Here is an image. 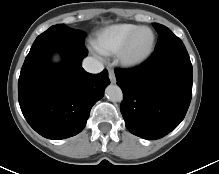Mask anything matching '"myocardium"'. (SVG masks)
<instances>
[{
	"label": "myocardium",
	"mask_w": 219,
	"mask_h": 174,
	"mask_svg": "<svg viewBox=\"0 0 219 174\" xmlns=\"http://www.w3.org/2000/svg\"><path fill=\"white\" fill-rule=\"evenodd\" d=\"M142 30H149L151 32L152 38L148 48L140 55L132 56L129 54L131 44L136 37V35ZM156 43V36L152 28L148 26H139L134 30L125 42L122 44L120 49L116 53L117 61L125 68H136L144 64L153 54Z\"/></svg>",
	"instance_id": "obj_1"
}]
</instances>
